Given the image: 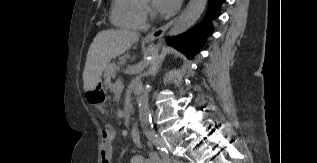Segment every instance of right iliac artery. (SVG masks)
I'll use <instances>...</instances> for the list:
<instances>
[{"label":"right iliac artery","instance_id":"obj_1","mask_svg":"<svg viewBox=\"0 0 317 163\" xmlns=\"http://www.w3.org/2000/svg\"><path fill=\"white\" fill-rule=\"evenodd\" d=\"M162 161H163V163H170V158H169V155H168L167 151L163 152Z\"/></svg>","mask_w":317,"mask_h":163}]
</instances>
